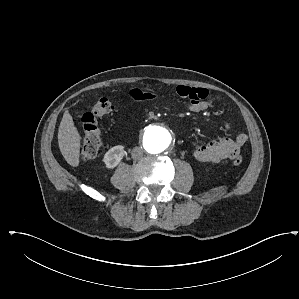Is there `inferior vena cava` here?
Here are the masks:
<instances>
[{
  "label": "inferior vena cava",
  "mask_w": 299,
  "mask_h": 299,
  "mask_svg": "<svg viewBox=\"0 0 299 299\" xmlns=\"http://www.w3.org/2000/svg\"><path fill=\"white\" fill-rule=\"evenodd\" d=\"M144 150L141 147H134L131 152V156L134 160H139L143 156Z\"/></svg>",
  "instance_id": "inferior-vena-cava-1"
}]
</instances>
